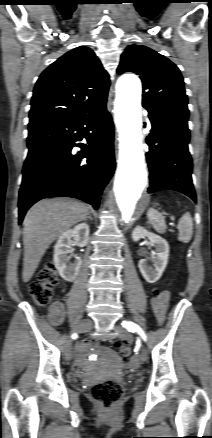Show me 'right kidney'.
Returning <instances> with one entry per match:
<instances>
[{"label": "right kidney", "instance_id": "ca27d5eb", "mask_svg": "<svg viewBox=\"0 0 212 438\" xmlns=\"http://www.w3.org/2000/svg\"><path fill=\"white\" fill-rule=\"evenodd\" d=\"M89 232L90 229L87 224H78L73 229L63 232L55 244L53 256L55 267L60 276L68 282L76 279L82 264L80 257H75L73 263L69 262L70 256L68 254L72 243L71 238L73 237L80 246H86L89 241Z\"/></svg>", "mask_w": 212, "mask_h": 438}]
</instances>
